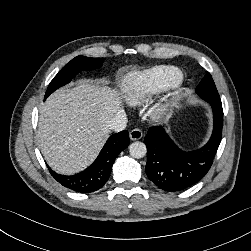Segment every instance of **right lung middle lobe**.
Returning a JSON list of instances; mask_svg holds the SVG:
<instances>
[{"instance_id":"obj_1","label":"right lung middle lobe","mask_w":251,"mask_h":251,"mask_svg":"<svg viewBox=\"0 0 251 251\" xmlns=\"http://www.w3.org/2000/svg\"><path fill=\"white\" fill-rule=\"evenodd\" d=\"M102 63V58H89L85 56H77L73 58L50 82L44 100L56 89L69 83L78 72L82 70H93L100 68Z\"/></svg>"}]
</instances>
